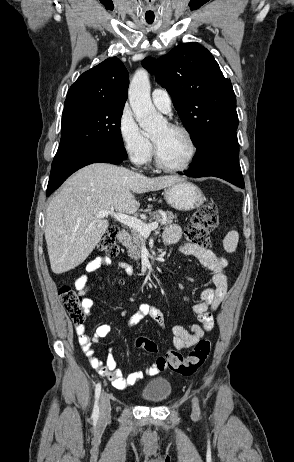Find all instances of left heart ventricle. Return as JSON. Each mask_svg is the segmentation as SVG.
Wrapping results in <instances>:
<instances>
[{
    "label": "left heart ventricle",
    "instance_id": "obj_1",
    "mask_svg": "<svg viewBox=\"0 0 294 462\" xmlns=\"http://www.w3.org/2000/svg\"><path fill=\"white\" fill-rule=\"evenodd\" d=\"M156 141L162 161L170 166L182 165L190 154V144L186 135L162 124L152 134Z\"/></svg>",
    "mask_w": 294,
    "mask_h": 462
}]
</instances>
